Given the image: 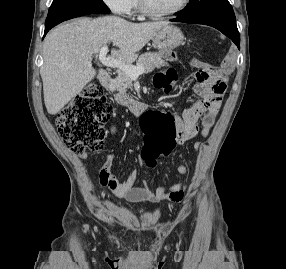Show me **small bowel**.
Instances as JSON below:
<instances>
[{"instance_id": "1", "label": "small bowel", "mask_w": 286, "mask_h": 269, "mask_svg": "<svg viewBox=\"0 0 286 269\" xmlns=\"http://www.w3.org/2000/svg\"><path fill=\"white\" fill-rule=\"evenodd\" d=\"M228 73V69L222 70L224 88H222L223 95H219V100H214V95L202 93L197 88H195V91L202 96V99L196 102L189 109L185 110L181 117L174 116V121L177 123L175 129L180 134L179 143L190 140L197 134L203 138L209 135L221 109L222 101L226 91L225 77L228 75ZM156 85L160 87L157 83ZM164 91L168 93L170 92V89L164 88ZM117 92L121 93L122 89L118 88ZM122 98L127 99L128 95L123 94ZM195 147L199 148L200 143L196 142ZM81 158L86 159L87 155L83 153ZM113 159L114 155H111L100 167L98 172V179L102 187L108 189L117 197L125 198L134 202L146 201L158 203L167 199L175 203L181 201V198H178V193L183 192V190L187 187L183 181H179L171 186L158 187L155 191L151 190L147 185L136 187L135 183L138 179V172L136 170H131L124 181H119L112 170ZM137 162L140 165L145 164L146 162L144 155L139 154L137 156ZM176 171L183 177L188 173L187 167L185 165H178L176 167Z\"/></svg>"}]
</instances>
